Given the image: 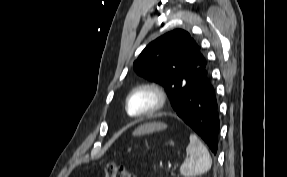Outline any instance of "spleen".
<instances>
[{"label":"spleen","instance_id":"1","mask_svg":"<svg viewBox=\"0 0 287 177\" xmlns=\"http://www.w3.org/2000/svg\"><path fill=\"white\" fill-rule=\"evenodd\" d=\"M187 157L180 167V173L185 177H194L207 172L212 160L207 148L194 134L190 135V143L186 148Z\"/></svg>","mask_w":287,"mask_h":177}]
</instances>
